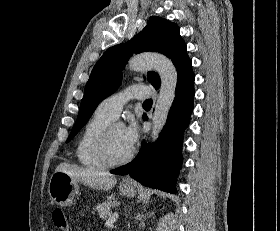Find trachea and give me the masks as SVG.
Listing matches in <instances>:
<instances>
[{
    "label": "trachea",
    "mask_w": 280,
    "mask_h": 231,
    "mask_svg": "<svg viewBox=\"0 0 280 231\" xmlns=\"http://www.w3.org/2000/svg\"><path fill=\"white\" fill-rule=\"evenodd\" d=\"M152 106V100L151 99H148V100H145L144 103H143V108L148 110L150 109Z\"/></svg>",
    "instance_id": "trachea-1"
}]
</instances>
